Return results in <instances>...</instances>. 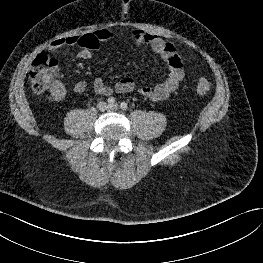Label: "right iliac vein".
Listing matches in <instances>:
<instances>
[{
	"instance_id": "obj_1",
	"label": "right iliac vein",
	"mask_w": 263,
	"mask_h": 263,
	"mask_svg": "<svg viewBox=\"0 0 263 263\" xmlns=\"http://www.w3.org/2000/svg\"><path fill=\"white\" fill-rule=\"evenodd\" d=\"M98 109H99L100 111H106V110L109 109V105H108L106 102H100V103L98 104Z\"/></svg>"
}]
</instances>
